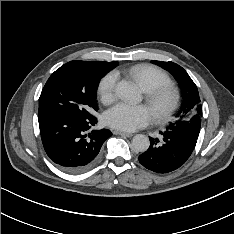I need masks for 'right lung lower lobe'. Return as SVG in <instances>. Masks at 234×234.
<instances>
[{
    "mask_svg": "<svg viewBox=\"0 0 234 234\" xmlns=\"http://www.w3.org/2000/svg\"><path fill=\"white\" fill-rule=\"evenodd\" d=\"M42 143L48 157L65 171L82 172L97 160L110 130H93L97 119L71 115H48L38 119Z\"/></svg>",
    "mask_w": 234,
    "mask_h": 234,
    "instance_id": "right-lung-lower-lobe-1",
    "label": "right lung lower lobe"
}]
</instances>
